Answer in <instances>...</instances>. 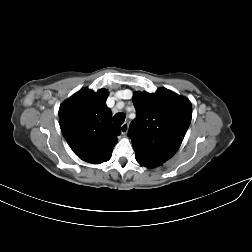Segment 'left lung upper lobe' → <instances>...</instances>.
Listing matches in <instances>:
<instances>
[{
	"mask_svg": "<svg viewBox=\"0 0 252 252\" xmlns=\"http://www.w3.org/2000/svg\"><path fill=\"white\" fill-rule=\"evenodd\" d=\"M133 102L136 118L128 135L135 153L166 162L179 149L190 125L191 102L166 88L153 94L135 92Z\"/></svg>",
	"mask_w": 252,
	"mask_h": 252,
	"instance_id": "obj_1",
	"label": "left lung upper lobe"
}]
</instances>
